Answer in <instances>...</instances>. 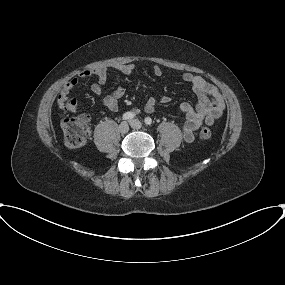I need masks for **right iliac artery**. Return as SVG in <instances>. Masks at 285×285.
Wrapping results in <instances>:
<instances>
[{"label": "right iliac artery", "instance_id": "82829eb1", "mask_svg": "<svg viewBox=\"0 0 285 285\" xmlns=\"http://www.w3.org/2000/svg\"><path fill=\"white\" fill-rule=\"evenodd\" d=\"M134 116H135L134 113H132V112H126V113L123 114V117H122V118H123V120H130V119H133Z\"/></svg>", "mask_w": 285, "mask_h": 285}]
</instances>
